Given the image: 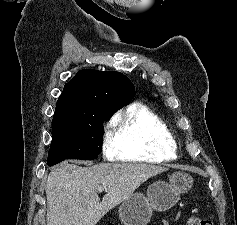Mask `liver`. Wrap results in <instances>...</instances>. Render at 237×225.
Wrapping results in <instances>:
<instances>
[{
    "label": "liver",
    "mask_w": 237,
    "mask_h": 225,
    "mask_svg": "<svg viewBox=\"0 0 237 225\" xmlns=\"http://www.w3.org/2000/svg\"><path fill=\"white\" fill-rule=\"evenodd\" d=\"M149 164L101 163L89 167L62 162L48 175L47 225H96L147 179L166 171ZM106 186L102 201L98 187Z\"/></svg>",
    "instance_id": "liver-1"
}]
</instances>
